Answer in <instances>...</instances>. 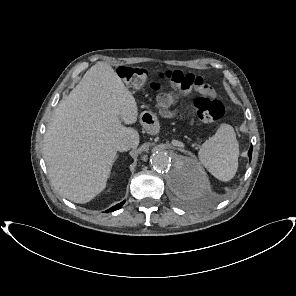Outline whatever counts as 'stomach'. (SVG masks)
I'll use <instances>...</instances> for the list:
<instances>
[{
	"mask_svg": "<svg viewBox=\"0 0 296 296\" xmlns=\"http://www.w3.org/2000/svg\"><path fill=\"white\" fill-rule=\"evenodd\" d=\"M141 124L150 132H157L159 130V123L157 117L152 112H143L140 115Z\"/></svg>",
	"mask_w": 296,
	"mask_h": 296,
	"instance_id": "1",
	"label": "stomach"
}]
</instances>
